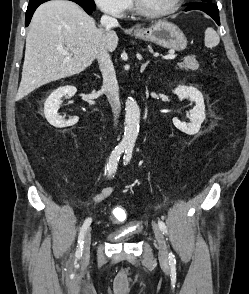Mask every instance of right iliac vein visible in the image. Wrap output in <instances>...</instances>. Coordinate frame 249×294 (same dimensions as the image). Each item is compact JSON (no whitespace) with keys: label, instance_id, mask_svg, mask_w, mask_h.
<instances>
[{"label":"right iliac vein","instance_id":"obj_1","mask_svg":"<svg viewBox=\"0 0 249 294\" xmlns=\"http://www.w3.org/2000/svg\"><path fill=\"white\" fill-rule=\"evenodd\" d=\"M91 228H88L84 236L82 261L87 262L90 258Z\"/></svg>","mask_w":249,"mask_h":294}]
</instances>
